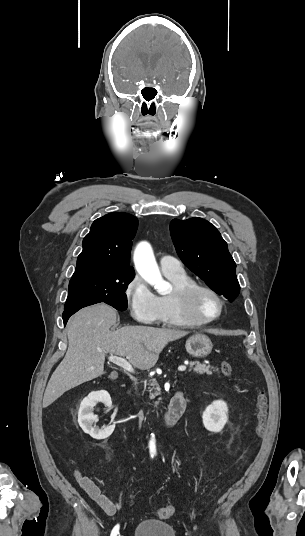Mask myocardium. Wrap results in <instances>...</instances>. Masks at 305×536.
Wrapping results in <instances>:
<instances>
[{"label":"myocardium","mask_w":305,"mask_h":536,"mask_svg":"<svg viewBox=\"0 0 305 536\" xmlns=\"http://www.w3.org/2000/svg\"><path fill=\"white\" fill-rule=\"evenodd\" d=\"M202 292H208L220 300L221 310L217 316L206 320L196 318L193 311V303L195 298ZM171 298L180 316L185 320L187 326L190 327H206L214 324L222 318L227 308V301L224 295L213 287L200 283L174 289Z\"/></svg>","instance_id":"1"}]
</instances>
